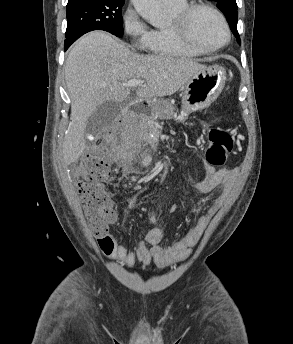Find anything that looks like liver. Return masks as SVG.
<instances>
[{"instance_id":"obj_1","label":"liver","mask_w":293,"mask_h":344,"mask_svg":"<svg viewBox=\"0 0 293 344\" xmlns=\"http://www.w3.org/2000/svg\"><path fill=\"white\" fill-rule=\"evenodd\" d=\"M205 65L192 59L165 55H140L123 42L103 31H93L80 38L65 64V80L71 99L70 123L64 137L62 154L66 165L84 153L86 122L103 103H122L131 79L138 85V100L170 96L183 87Z\"/></svg>"}]
</instances>
